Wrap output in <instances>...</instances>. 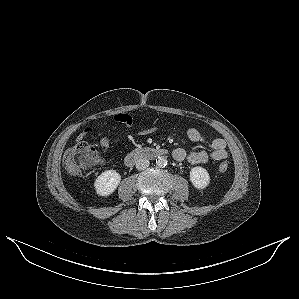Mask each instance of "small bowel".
<instances>
[{
	"mask_svg": "<svg viewBox=\"0 0 299 299\" xmlns=\"http://www.w3.org/2000/svg\"><path fill=\"white\" fill-rule=\"evenodd\" d=\"M114 120L118 123H121L125 126H131L132 118L126 114H118L114 116ZM157 131L156 127H151L138 131L139 135H147ZM92 132L91 127H86L80 134V138H83ZM187 136L192 142L196 143H205L206 138L204 134L197 128L191 127L187 130ZM111 144L110 137H103L100 141V148L103 152H106ZM211 148L210 152L207 151H193L187 152L183 148H176L173 150V157L177 161H187L191 164H202L206 163L209 160L220 161L228 157L227 153V144L226 141L222 138H216L209 142Z\"/></svg>",
	"mask_w": 299,
	"mask_h": 299,
	"instance_id": "small-bowel-1",
	"label": "small bowel"
}]
</instances>
